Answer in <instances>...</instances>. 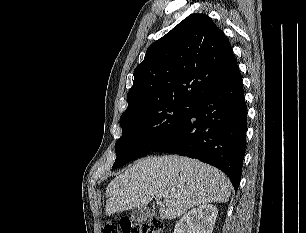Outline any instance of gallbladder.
Returning a JSON list of instances; mask_svg holds the SVG:
<instances>
[{"label": "gallbladder", "instance_id": "bac80fb5", "mask_svg": "<svg viewBox=\"0 0 306 233\" xmlns=\"http://www.w3.org/2000/svg\"><path fill=\"white\" fill-rule=\"evenodd\" d=\"M151 214L152 211H150L146 207H140L132 210L130 214V219L136 224H139L144 222Z\"/></svg>", "mask_w": 306, "mask_h": 233}]
</instances>
